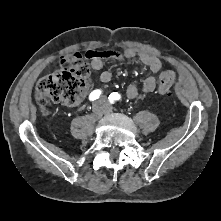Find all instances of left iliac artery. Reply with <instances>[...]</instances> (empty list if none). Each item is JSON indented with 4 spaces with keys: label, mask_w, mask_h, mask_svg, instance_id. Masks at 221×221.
Segmentation results:
<instances>
[{
    "label": "left iliac artery",
    "mask_w": 221,
    "mask_h": 221,
    "mask_svg": "<svg viewBox=\"0 0 221 221\" xmlns=\"http://www.w3.org/2000/svg\"><path fill=\"white\" fill-rule=\"evenodd\" d=\"M120 98H121V96L117 92H114V93L109 95V101H110L111 104H114L115 101L119 100Z\"/></svg>",
    "instance_id": "44dca946"
}]
</instances>
